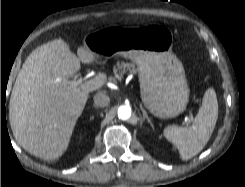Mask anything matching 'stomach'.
I'll return each instance as SVG.
<instances>
[{"label": "stomach", "instance_id": "obj_1", "mask_svg": "<svg viewBox=\"0 0 245 187\" xmlns=\"http://www.w3.org/2000/svg\"><path fill=\"white\" fill-rule=\"evenodd\" d=\"M172 33L165 27H108L84 39L96 56H123L138 65L141 98L156 117L167 119L182 113L189 88L182 63L172 53Z\"/></svg>", "mask_w": 245, "mask_h": 187}]
</instances>
